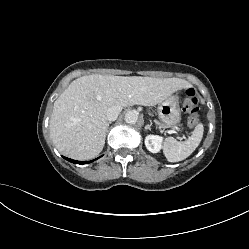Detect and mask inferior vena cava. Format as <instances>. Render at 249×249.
<instances>
[{"instance_id": "inferior-vena-cava-1", "label": "inferior vena cava", "mask_w": 249, "mask_h": 249, "mask_svg": "<svg viewBox=\"0 0 249 249\" xmlns=\"http://www.w3.org/2000/svg\"><path fill=\"white\" fill-rule=\"evenodd\" d=\"M121 111H122L121 106H112V107H110L106 112L107 120L115 121Z\"/></svg>"}]
</instances>
